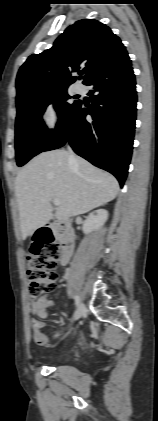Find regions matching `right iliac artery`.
<instances>
[{
    "mask_svg": "<svg viewBox=\"0 0 158 421\" xmlns=\"http://www.w3.org/2000/svg\"><path fill=\"white\" fill-rule=\"evenodd\" d=\"M75 304L76 306L80 304V298L78 296H75ZM55 336H58V334H56Z\"/></svg>",
    "mask_w": 158,
    "mask_h": 421,
    "instance_id": "1",
    "label": "right iliac artery"
}]
</instances>
